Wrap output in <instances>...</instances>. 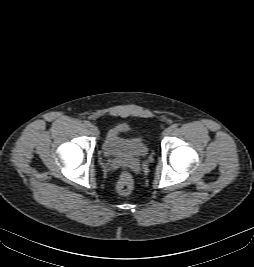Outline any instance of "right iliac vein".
<instances>
[{"mask_svg":"<svg viewBox=\"0 0 254 267\" xmlns=\"http://www.w3.org/2000/svg\"><path fill=\"white\" fill-rule=\"evenodd\" d=\"M89 130H90L92 135H94V136H98L99 135V130L95 125H90L89 126Z\"/></svg>","mask_w":254,"mask_h":267,"instance_id":"63e3f726","label":"right iliac vein"}]
</instances>
